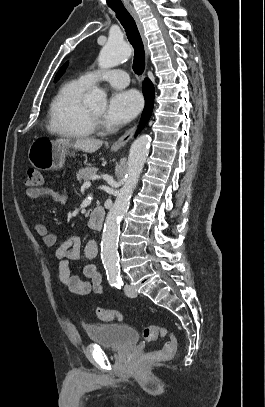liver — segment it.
Here are the masks:
<instances>
[{
    "label": "liver",
    "instance_id": "obj_1",
    "mask_svg": "<svg viewBox=\"0 0 265 407\" xmlns=\"http://www.w3.org/2000/svg\"><path fill=\"white\" fill-rule=\"evenodd\" d=\"M55 142L63 146L74 147L75 149L87 153L96 152L103 144V141L91 138L77 139L75 142H71L69 139H57Z\"/></svg>",
    "mask_w": 265,
    "mask_h": 407
}]
</instances>
